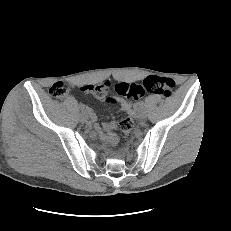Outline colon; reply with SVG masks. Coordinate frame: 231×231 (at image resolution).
I'll return each instance as SVG.
<instances>
[{
  "label": "colon",
  "instance_id": "colon-1",
  "mask_svg": "<svg viewBox=\"0 0 231 231\" xmlns=\"http://www.w3.org/2000/svg\"><path fill=\"white\" fill-rule=\"evenodd\" d=\"M175 82L171 78L161 76H148L142 83H120L115 86V91L118 95L128 99L137 100L146 92L159 94L164 97H170L173 93ZM98 89L104 95L109 89L108 83L101 84ZM68 93V87L62 82H56L49 88V94L56 99H63ZM117 127L125 134H129L133 127V120L126 116L118 121Z\"/></svg>",
  "mask_w": 231,
  "mask_h": 231
}]
</instances>
